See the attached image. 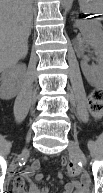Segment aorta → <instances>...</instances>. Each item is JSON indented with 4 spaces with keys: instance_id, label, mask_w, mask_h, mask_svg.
I'll return each instance as SVG.
<instances>
[{
    "instance_id": "obj_1",
    "label": "aorta",
    "mask_w": 103,
    "mask_h": 193,
    "mask_svg": "<svg viewBox=\"0 0 103 193\" xmlns=\"http://www.w3.org/2000/svg\"><path fill=\"white\" fill-rule=\"evenodd\" d=\"M73 0H61V5L64 9L69 10Z\"/></svg>"
}]
</instances>
